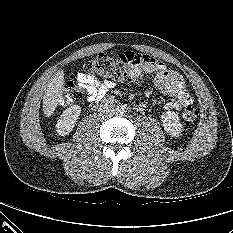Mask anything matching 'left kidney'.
<instances>
[{
    "label": "left kidney",
    "mask_w": 233,
    "mask_h": 233,
    "mask_svg": "<svg viewBox=\"0 0 233 233\" xmlns=\"http://www.w3.org/2000/svg\"><path fill=\"white\" fill-rule=\"evenodd\" d=\"M161 121L165 131L172 137H178L183 132V125L180 123L179 116L175 112H163Z\"/></svg>",
    "instance_id": "left-kidney-1"
}]
</instances>
